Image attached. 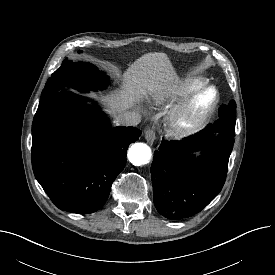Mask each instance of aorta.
<instances>
[{"mask_svg": "<svg viewBox=\"0 0 275 275\" xmlns=\"http://www.w3.org/2000/svg\"><path fill=\"white\" fill-rule=\"evenodd\" d=\"M151 156V149L145 143H135L128 150V159L136 166L147 164Z\"/></svg>", "mask_w": 275, "mask_h": 275, "instance_id": "obj_1", "label": "aorta"}]
</instances>
